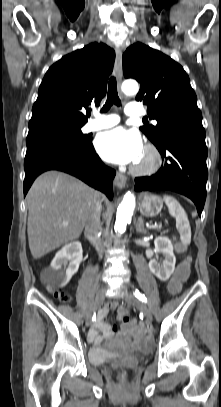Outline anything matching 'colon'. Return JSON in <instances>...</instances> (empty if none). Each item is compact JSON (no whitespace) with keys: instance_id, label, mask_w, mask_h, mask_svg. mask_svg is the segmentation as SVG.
Returning a JSON list of instances; mask_svg holds the SVG:
<instances>
[{"instance_id":"5ec220e1","label":"colon","mask_w":221,"mask_h":407,"mask_svg":"<svg viewBox=\"0 0 221 407\" xmlns=\"http://www.w3.org/2000/svg\"><path fill=\"white\" fill-rule=\"evenodd\" d=\"M180 247L183 248L182 246ZM191 261L192 258L186 256L184 260H179L178 265L175 266L174 275L171 277V281L166 285L167 290L174 295H181L184 292V287L181 284H187L188 279L191 277ZM50 292L60 301H66L68 299L64 291ZM115 310L121 328L123 330H130L132 337L137 338L142 332V329L138 327V321L131 320V315L125 305H117Z\"/></svg>"}]
</instances>
